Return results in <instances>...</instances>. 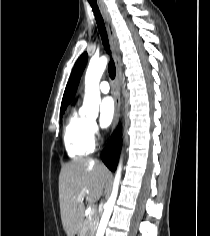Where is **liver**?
Returning <instances> with one entry per match:
<instances>
[{"label":"liver","instance_id":"liver-1","mask_svg":"<svg viewBox=\"0 0 210 236\" xmlns=\"http://www.w3.org/2000/svg\"><path fill=\"white\" fill-rule=\"evenodd\" d=\"M110 172L92 159H75L62 166L59 175L61 220L67 236L80 233L84 223L83 199L98 200ZM81 236V235H80Z\"/></svg>","mask_w":210,"mask_h":236}]
</instances>
